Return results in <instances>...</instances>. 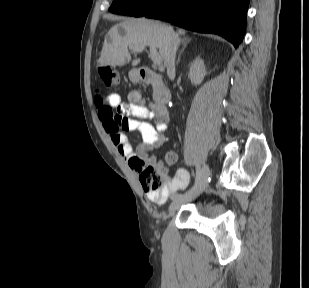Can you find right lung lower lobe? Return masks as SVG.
<instances>
[{
	"mask_svg": "<svg viewBox=\"0 0 309 288\" xmlns=\"http://www.w3.org/2000/svg\"><path fill=\"white\" fill-rule=\"evenodd\" d=\"M248 5L249 0H165L144 16L197 32L215 33L238 47L246 30Z\"/></svg>",
	"mask_w": 309,
	"mask_h": 288,
	"instance_id": "obj_1",
	"label": "right lung lower lobe"
}]
</instances>
